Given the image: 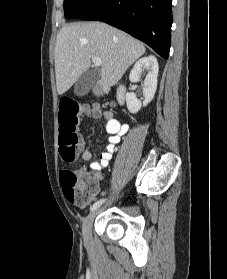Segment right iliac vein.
Returning a JSON list of instances; mask_svg holds the SVG:
<instances>
[{"mask_svg":"<svg viewBox=\"0 0 227 279\" xmlns=\"http://www.w3.org/2000/svg\"><path fill=\"white\" fill-rule=\"evenodd\" d=\"M98 211H99V209L93 210L84 220L83 238L87 244H89L91 241V229H92L93 221H94Z\"/></svg>","mask_w":227,"mask_h":279,"instance_id":"obj_1","label":"right iliac vein"}]
</instances>
